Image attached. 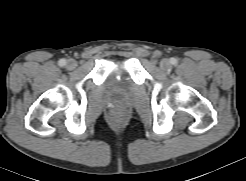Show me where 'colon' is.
<instances>
[{"label": "colon", "instance_id": "5ec220e1", "mask_svg": "<svg viewBox=\"0 0 246 181\" xmlns=\"http://www.w3.org/2000/svg\"><path fill=\"white\" fill-rule=\"evenodd\" d=\"M122 119H123L122 115L117 114V115H115V116L113 117V122H114L115 124H119V123H121Z\"/></svg>", "mask_w": 246, "mask_h": 181}]
</instances>
